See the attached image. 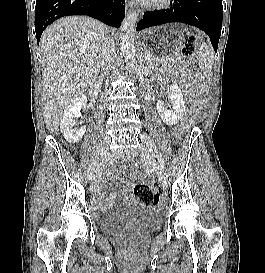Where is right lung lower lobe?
Instances as JSON below:
<instances>
[{
    "label": "right lung lower lobe",
    "mask_w": 265,
    "mask_h": 273,
    "mask_svg": "<svg viewBox=\"0 0 265 273\" xmlns=\"http://www.w3.org/2000/svg\"><path fill=\"white\" fill-rule=\"evenodd\" d=\"M125 0H36L35 31L37 41L44 29L56 19L68 15H88L118 28L125 16Z\"/></svg>",
    "instance_id": "obj_1"
}]
</instances>
